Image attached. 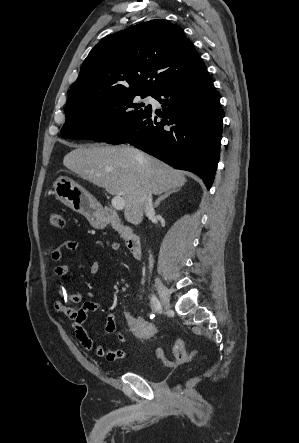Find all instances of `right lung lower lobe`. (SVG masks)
Returning a JSON list of instances; mask_svg holds the SVG:
<instances>
[{"label":"right lung lower lobe","instance_id":"obj_1","mask_svg":"<svg viewBox=\"0 0 299 443\" xmlns=\"http://www.w3.org/2000/svg\"><path fill=\"white\" fill-rule=\"evenodd\" d=\"M153 97L163 113L151 108L105 142L129 143L177 169L194 172L209 189L219 160L223 116L208 71L175 80Z\"/></svg>","mask_w":299,"mask_h":443}]
</instances>
